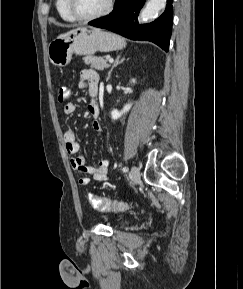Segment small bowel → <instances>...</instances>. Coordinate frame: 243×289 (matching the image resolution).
<instances>
[{"mask_svg":"<svg viewBox=\"0 0 243 289\" xmlns=\"http://www.w3.org/2000/svg\"><path fill=\"white\" fill-rule=\"evenodd\" d=\"M79 87L86 88L92 98L91 103L88 106L90 115L97 119L100 115V109L96 101L94 100L98 94L99 77L95 70L85 69L82 70L79 76ZM76 105L74 103H68L64 107V113L66 115H72L76 111ZM92 127L95 131L101 132V125L95 120L92 123ZM66 152L71 156L70 164L74 170L85 174L78 179V184L82 187L87 186L91 179L95 182H103L107 179L109 161L107 159L99 160L94 166H88L85 163L84 156L80 153V145L77 142L76 134L74 130L68 129L63 135Z\"/></svg>","mask_w":243,"mask_h":289,"instance_id":"obj_1","label":"small bowel"}]
</instances>
